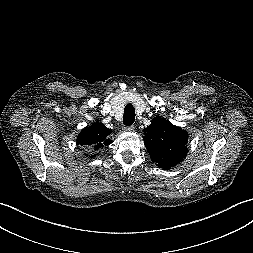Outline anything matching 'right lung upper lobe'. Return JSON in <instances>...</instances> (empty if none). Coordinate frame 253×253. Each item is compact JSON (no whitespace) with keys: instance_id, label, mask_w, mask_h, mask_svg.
<instances>
[{"instance_id":"obj_1","label":"right lung upper lobe","mask_w":253,"mask_h":253,"mask_svg":"<svg viewBox=\"0 0 253 253\" xmlns=\"http://www.w3.org/2000/svg\"><path fill=\"white\" fill-rule=\"evenodd\" d=\"M111 133V129H108L103 123L97 121L80 132L77 137V145L80 144L92 151H98L111 143V140L108 138V135Z\"/></svg>"}]
</instances>
